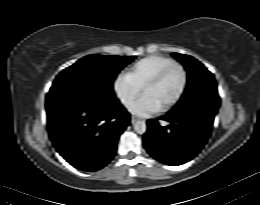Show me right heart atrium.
<instances>
[{"label": "right heart atrium", "instance_id": "obj_1", "mask_svg": "<svg viewBox=\"0 0 260 205\" xmlns=\"http://www.w3.org/2000/svg\"><path fill=\"white\" fill-rule=\"evenodd\" d=\"M114 90L119 99L126 105L130 104L138 95V89L131 86L125 77L116 79Z\"/></svg>", "mask_w": 260, "mask_h": 205}]
</instances>
